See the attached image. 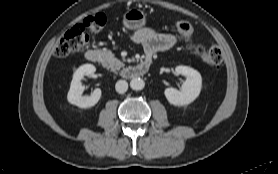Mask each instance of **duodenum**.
<instances>
[{"mask_svg": "<svg viewBox=\"0 0 278 174\" xmlns=\"http://www.w3.org/2000/svg\"><path fill=\"white\" fill-rule=\"evenodd\" d=\"M85 57L88 61L96 63L99 61L100 54L97 50L89 49L85 53ZM151 66V59L146 58L135 66L127 67L123 70L122 74L126 78H136L147 73Z\"/></svg>", "mask_w": 278, "mask_h": 174, "instance_id": "duodenum-1", "label": "duodenum"}]
</instances>
